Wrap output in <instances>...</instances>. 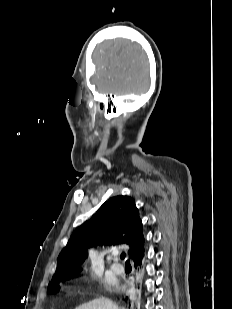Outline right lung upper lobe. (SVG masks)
Listing matches in <instances>:
<instances>
[{"instance_id":"cb5924a9","label":"right lung upper lobe","mask_w":232,"mask_h":309,"mask_svg":"<svg viewBox=\"0 0 232 309\" xmlns=\"http://www.w3.org/2000/svg\"><path fill=\"white\" fill-rule=\"evenodd\" d=\"M130 246L128 254L136 261L144 254V236L138 208L132 198L115 196L107 200L90 220L77 227L57 259L52 284L79 273L88 256L87 249L94 245ZM49 286L48 291H51ZM54 294L53 292H49Z\"/></svg>"}]
</instances>
